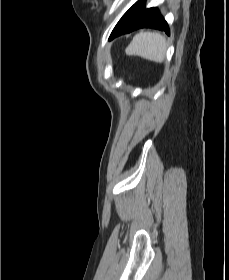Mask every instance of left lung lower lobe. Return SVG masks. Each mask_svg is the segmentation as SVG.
<instances>
[{"instance_id":"left-lung-lower-lobe-1","label":"left lung lower lobe","mask_w":229,"mask_h":280,"mask_svg":"<svg viewBox=\"0 0 229 280\" xmlns=\"http://www.w3.org/2000/svg\"><path fill=\"white\" fill-rule=\"evenodd\" d=\"M164 30L169 35L167 22L157 8H145V0H138L120 19L112 31L109 40L139 28Z\"/></svg>"}]
</instances>
